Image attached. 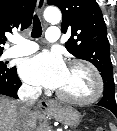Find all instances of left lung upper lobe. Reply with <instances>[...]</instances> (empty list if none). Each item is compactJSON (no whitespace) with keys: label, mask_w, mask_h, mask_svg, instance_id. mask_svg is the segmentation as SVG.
Segmentation results:
<instances>
[{"label":"left lung upper lobe","mask_w":117,"mask_h":131,"mask_svg":"<svg viewBox=\"0 0 117 131\" xmlns=\"http://www.w3.org/2000/svg\"><path fill=\"white\" fill-rule=\"evenodd\" d=\"M47 3L61 10L63 33L71 32L65 43L67 50L101 72L104 92L108 93L102 103L117 108L107 29L98 3L96 0H47Z\"/></svg>","instance_id":"obj_1"}]
</instances>
